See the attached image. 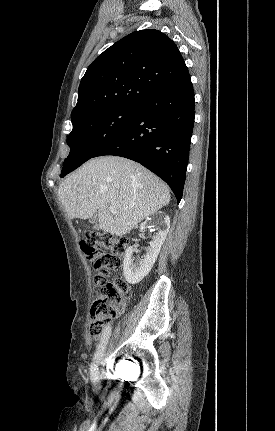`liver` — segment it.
<instances>
[{
  "label": "liver",
  "instance_id": "6515ba94",
  "mask_svg": "<svg viewBox=\"0 0 275 431\" xmlns=\"http://www.w3.org/2000/svg\"><path fill=\"white\" fill-rule=\"evenodd\" d=\"M58 195L70 219H88L98 211L100 229L119 237L171 198L168 186L155 174L117 156L91 159L59 185Z\"/></svg>",
  "mask_w": 275,
  "mask_h": 431
}]
</instances>
